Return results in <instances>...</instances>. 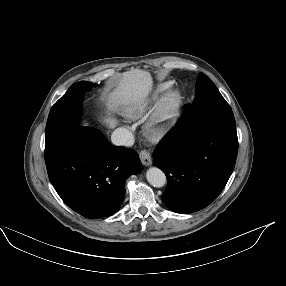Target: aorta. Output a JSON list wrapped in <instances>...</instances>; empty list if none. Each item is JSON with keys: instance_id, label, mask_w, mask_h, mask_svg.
<instances>
[{"instance_id": "obj_1", "label": "aorta", "mask_w": 286, "mask_h": 286, "mask_svg": "<svg viewBox=\"0 0 286 286\" xmlns=\"http://www.w3.org/2000/svg\"><path fill=\"white\" fill-rule=\"evenodd\" d=\"M147 181L154 187L160 188L166 184V176L164 172L157 168H149L146 172Z\"/></svg>"}]
</instances>
